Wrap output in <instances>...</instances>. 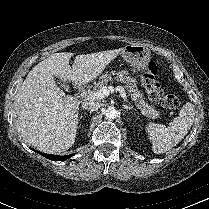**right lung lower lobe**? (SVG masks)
I'll return each mask as SVG.
<instances>
[{
	"mask_svg": "<svg viewBox=\"0 0 209 209\" xmlns=\"http://www.w3.org/2000/svg\"><path fill=\"white\" fill-rule=\"evenodd\" d=\"M42 155L44 157L50 159V160H53V161H63V160H66V159L70 158L74 154L65 155V156H59V155H50V154L42 153Z\"/></svg>",
	"mask_w": 209,
	"mask_h": 209,
	"instance_id": "obj_1",
	"label": "right lung lower lobe"
}]
</instances>
